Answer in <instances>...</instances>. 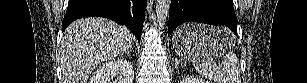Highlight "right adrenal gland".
<instances>
[{
	"instance_id": "1",
	"label": "right adrenal gland",
	"mask_w": 307,
	"mask_h": 83,
	"mask_svg": "<svg viewBox=\"0 0 307 83\" xmlns=\"http://www.w3.org/2000/svg\"><path fill=\"white\" fill-rule=\"evenodd\" d=\"M131 49H132V48H129V49L126 50L125 52L121 53L120 56H123L124 54H126L127 56L130 57V56H131Z\"/></svg>"
}]
</instances>
